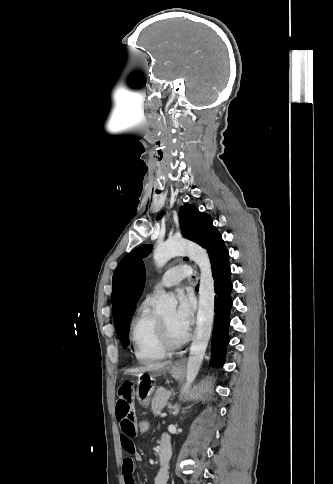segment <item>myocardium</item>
Here are the masks:
<instances>
[{
    "mask_svg": "<svg viewBox=\"0 0 333 484\" xmlns=\"http://www.w3.org/2000/svg\"><path fill=\"white\" fill-rule=\"evenodd\" d=\"M157 329L160 342L166 351L177 349L188 341L189 335L187 333L179 339L172 338L165 322L160 317L157 319Z\"/></svg>",
    "mask_w": 333,
    "mask_h": 484,
    "instance_id": "1",
    "label": "myocardium"
}]
</instances>
